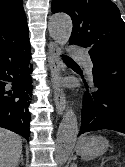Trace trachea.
<instances>
[{"label": "trachea", "instance_id": "trachea-1", "mask_svg": "<svg viewBox=\"0 0 125 167\" xmlns=\"http://www.w3.org/2000/svg\"><path fill=\"white\" fill-rule=\"evenodd\" d=\"M63 60L66 61V62H74L70 57L68 56H62Z\"/></svg>", "mask_w": 125, "mask_h": 167}]
</instances>
